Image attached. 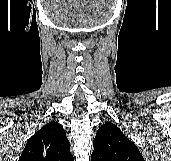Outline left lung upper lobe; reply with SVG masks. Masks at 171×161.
I'll return each mask as SVG.
<instances>
[{"mask_svg":"<svg viewBox=\"0 0 171 161\" xmlns=\"http://www.w3.org/2000/svg\"><path fill=\"white\" fill-rule=\"evenodd\" d=\"M93 147L92 161H144L136 145L111 122L98 129Z\"/></svg>","mask_w":171,"mask_h":161,"instance_id":"1","label":"left lung upper lobe"}]
</instances>
